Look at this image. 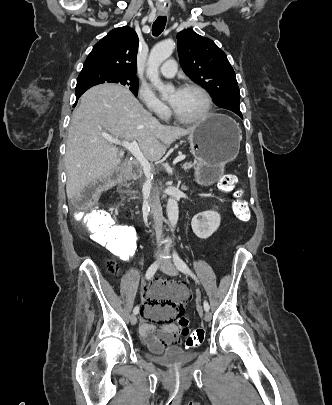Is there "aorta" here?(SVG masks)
<instances>
[{
	"label": "aorta",
	"instance_id": "aorta-1",
	"mask_svg": "<svg viewBox=\"0 0 332 405\" xmlns=\"http://www.w3.org/2000/svg\"><path fill=\"white\" fill-rule=\"evenodd\" d=\"M174 49L175 42L172 39H166L152 48L147 61V77L152 85L163 95L170 89V87H167L162 83L159 77V67L171 56ZM167 216L172 228H175L179 218V208L176 199L173 197L169 198L167 202Z\"/></svg>",
	"mask_w": 332,
	"mask_h": 405
}]
</instances>
